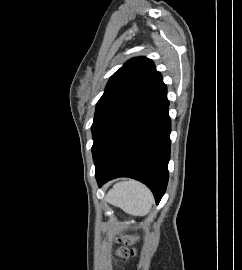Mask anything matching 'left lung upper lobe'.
<instances>
[{
	"instance_id": "left-lung-upper-lobe-1",
	"label": "left lung upper lobe",
	"mask_w": 242,
	"mask_h": 270,
	"mask_svg": "<svg viewBox=\"0 0 242 270\" xmlns=\"http://www.w3.org/2000/svg\"><path fill=\"white\" fill-rule=\"evenodd\" d=\"M162 83V76L152 60L136 57L127 61L110 78L97 102L92 124L95 156L113 126L146 99Z\"/></svg>"
}]
</instances>
